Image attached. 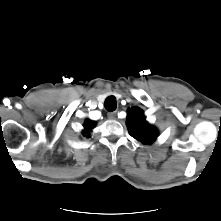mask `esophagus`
<instances>
[{"instance_id": "1", "label": "esophagus", "mask_w": 221, "mask_h": 221, "mask_svg": "<svg viewBox=\"0 0 221 221\" xmlns=\"http://www.w3.org/2000/svg\"><path fill=\"white\" fill-rule=\"evenodd\" d=\"M107 115H108V118H109V119L113 120V119L116 118V111H114V112H109Z\"/></svg>"}]
</instances>
